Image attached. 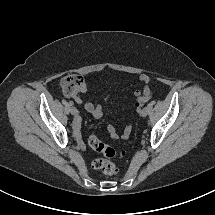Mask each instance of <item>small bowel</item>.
I'll return each mask as SVG.
<instances>
[{
	"mask_svg": "<svg viewBox=\"0 0 215 215\" xmlns=\"http://www.w3.org/2000/svg\"><path fill=\"white\" fill-rule=\"evenodd\" d=\"M140 81L144 84H148L150 79H149V76L146 75V74H142L140 75L139 77ZM86 90V85L84 84L83 88H82V91L84 92ZM75 101L78 103V104H82V101L80 98H75ZM109 101V97H107L105 99V103H107ZM84 109L90 113L93 117H95L96 119H100L103 115V110H102V107L100 105H97V104H94L92 102H87L84 104ZM80 126V122L79 120H77L76 122V128H79ZM132 132V124L131 123H128L123 132L121 134H119L116 129L113 127V126H109L108 127V133L110 134V136L113 138V139H119V138H123V139H126L130 136Z\"/></svg>",
	"mask_w": 215,
	"mask_h": 215,
	"instance_id": "small-bowel-1",
	"label": "small bowel"
}]
</instances>
